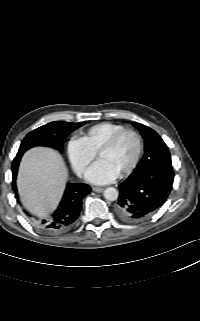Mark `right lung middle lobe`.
<instances>
[{
    "label": "right lung middle lobe",
    "mask_w": 200,
    "mask_h": 321,
    "mask_svg": "<svg viewBox=\"0 0 200 321\" xmlns=\"http://www.w3.org/2000/svg\"><path fill=\"white\" fill-rule=\"evenodd\" d=\"M82 123H70L55 121L43 125L30 133L23 139L17 155H23L28 149L35 146H46L62 152L66 137L77 128L84 125Z\"/></svg>",
    "instance_id": "obj_1"
}]
</instances>
